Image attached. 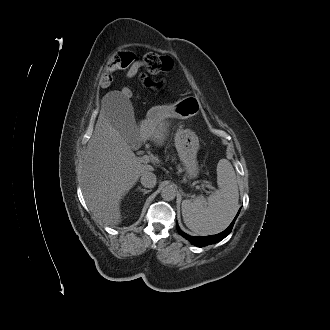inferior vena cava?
Masks as SVG:
<instances>
[{
  "mask_svg": "<svg viewBox=\"0 0 330 330\" xmlns=\"http://www.w3.org/2000/svg\"><path fill=\"white\" fill-rule=\"evenodd\" d=\"M141 184L146 188H153L156 183V175L150 171H146L141 175Z\"/></svg>",
  "mask_w": 330,
  "mask_h": 330,
  "instance_id": "inferior-vena-cava-1",
  "label": "inferior vena cava"
}]
</instances>
